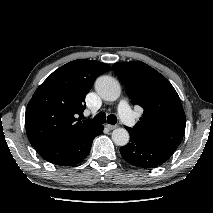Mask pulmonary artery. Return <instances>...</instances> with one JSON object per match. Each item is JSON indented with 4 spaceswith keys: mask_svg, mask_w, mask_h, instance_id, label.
I'll list each match as a JSON object with an SVG mask.
<instances>
[{
    "mask_svg": "<svg viewBox=\"0 0 213 213\" xmlns=\"http://www.w3.org/2000/svg\"><path fill=\"white\" fill-rule=\"evenodd\" d=\"M118 112L121 120L127 125L132 127L135 124L134 116L131 112V109L128 103L125 100H122L118 106Z\"/></svg>",
    "mask_w": 213,
    "mask_h": 213,
    "instance_id": "obj_1",
    "label": "pulmonary artery"
}]
</instances>
